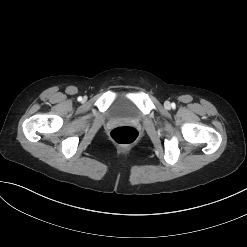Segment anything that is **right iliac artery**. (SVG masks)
Segmentation results:
<instances>
[{"label": "right iliac artery", "instance_id": "82829eb1", "mask_svg": "<svg viewBox=\"0 0 247 247\" xmlns=\"http://www.w3.org/2000/svg\"><path fill=\"white\" fill-rule=\"evenodd\" d=\"M82 100V97H78V101H81Z\"/></svg>", "mask_w": 247, "mask_h": 247}]
</instances>
